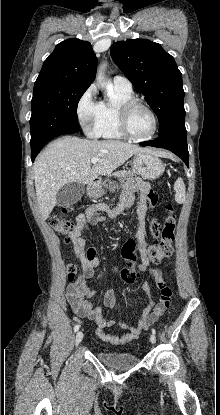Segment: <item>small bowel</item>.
<instances>
[{
	"mask_svg": "<svg viewBox=\"0 0 220 415\" xmlns=\"http://www.w3.org/2000/svg\"><path fill=\"white\" fill-rule=\"evenodd\" d=\"M149 191L148 184L143 180H135L131 182L122 192L120 201L114 208H109L106 204L90 205L84 213L76 216L75 226L70 232V238L74 245L77 257L81 260L82 275L70 284L65 292V297L75 314L81 318H87L97 323L98 328L96 334L103 341L119 345L125 343H133L136 341L143 331L148 329L162 314L155 311L156 304L150 294L147 283L142 285L146 304L141 312L140 319L135 326L129 327L122 324L121 328L127 332L122 335H113L105 330L114 326V321L106 319L103 316V310L99 306H93L87 298H97L99 293L86 285L87 280L96 277V269L100 266L101 260L97 254V250L86 244L85 238L82 236L84 229L89 225H96L104 222L106 217L102 212H106L110 220H113L119 214H124L128 208L135 204L136 206V224L137 239L140 246L141 262L140 271H146L150 268V260L146 255L147 238L145 230V217L147 211V194ZM112 271L117 272V268L113 267ZM151 273L155 278L160 274L157 268H151ZM116 302V295L112 289L105 292L103 303L108 308H113Z\"/></svg>",
	"mask_w": 220,
	"mask_h": 415,
	"instance_id": "c3829d8e",
	"label": "small bowel"
}]
</instances>
